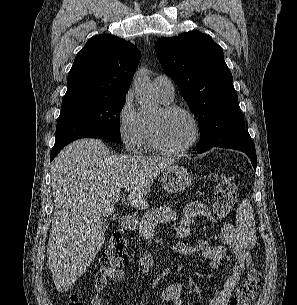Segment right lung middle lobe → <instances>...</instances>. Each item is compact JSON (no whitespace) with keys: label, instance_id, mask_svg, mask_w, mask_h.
Here are the masks:
<instances>
[{"label":"right lung middle lobe","instance_id":"dd1d6c3e","mask_svg":"<svg viewBox=\"0 0 297 305\" xmlns=\"http://www.w3.org/2000/svg\"><path fill=\"white\" fill-rule=\"evenodd\" d=\"M125 99V95L90 96L62 102L53 148L86 137L120 142L119 114Z\"/></svg>","mask_w":297,"mask_h":305}]
</instances>
